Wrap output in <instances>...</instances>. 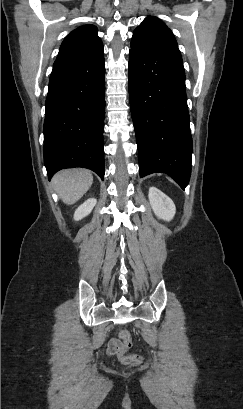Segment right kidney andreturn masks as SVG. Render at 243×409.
<instances>
[{
	"label": "right kidney",
	"instance_id": "obj_1",
	"mask_svg": "<svg viewBox=\"0 0 243 409\" xmlns=\"http://www.w3.org/2000/svg\"><path fill=\"white\" fill-rule=\"evenodd\" d=\"M96 202L95 198H90L81 204L74 213V220L79 221L88 216L96 205Z\"/></svg>",
	"mask_w": 243,
	"mask_h": 409
}]
</instances>
